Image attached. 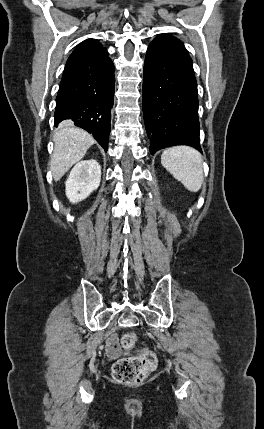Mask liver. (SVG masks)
I'll return each instance as SVG.
<instances>
[{
	"label": "liver",
	"mask_w": 264,
	"mask_h": 429,
	"mask_svg": "<svg viewBox=\"0 0 264 429\" xmlns=\"http://www.w3.org/2000/svg\"><path fill=\"white\" fill-rule=\"evenodd\" d=\"M94 143L88 132L73 126L70 121L63 122L54 135V151L50 161L53 179L60 180Z\"/></svg>",
	"instance_id": "liver-1"
}]
</instances>
